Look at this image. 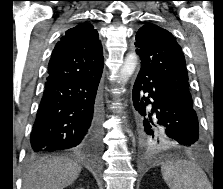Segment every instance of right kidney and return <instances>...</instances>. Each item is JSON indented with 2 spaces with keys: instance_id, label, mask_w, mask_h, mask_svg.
I'll return each mask as SVG.
<instances>
[{
  "instance_id": "1",
  "label": "right kidney",
  "mask_w": 223,
  "mask_h": 189,
  "mask_svg": "<svg viewBox=\"0 0 223 189\" xmlns=\"http://www.w3.org/2000/svg\"><path fill=\"white\" fill-rule=\"evenodd\" d=\"M76 189H84V188H76Z\"/></svg>"
}]
</instances>
